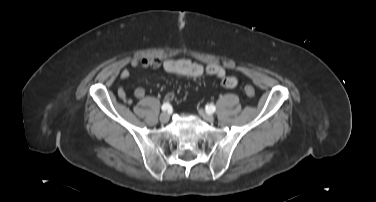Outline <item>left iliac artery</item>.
Returning a JSON list of instances; mask_svg holds the SVG:
<instances>
[{
	"instance_id": "left-iliac-artery-1",
	"label": "left iliac artery",
	"mask_w": 376,
	"mask_h": 202,
	"mask_svg": "<svg viewBox=\"0 0 376 202\" xmlns=\"http://www.w3.org/2000/svg\"><path fill=\"white\" fill-rule=\"evenodd\" d=\"M206 111L208 112V113H213V112H215L216 111V107L214 106V105H208L207 107H206Z\"/></svg>"
}]
</instances>
